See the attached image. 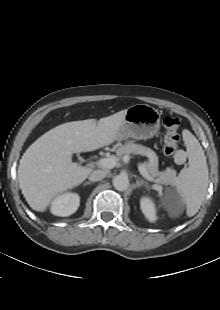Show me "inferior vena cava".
I'll return each instance as SVG.
<instances>
[{
    "label": "inferior vena cava",
    "instance_id": "inferior-vena-cava-1",
    "mask_svg": "<svg viewBox=\"0 0 220 310\" xmlns=\"http://www.w3.org/2000/svg\"><path fill=\"white\" fill-rule=\"evenodd\" d=\"M107 173L105 170H94L91 172L89 180L92 182L100 181L106 177Z\"/></svg>",
    "mask_w": 220,
    "mask_h": 310
}]
</instances>
